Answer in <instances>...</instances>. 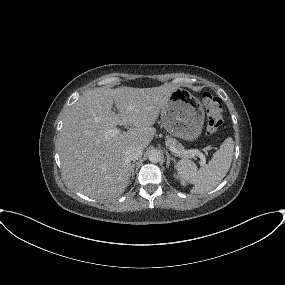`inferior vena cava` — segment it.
<instances>
[{
	"label": "inferior vena cava",
	"mask_w": 285,
	"mask_h": 285,
	"mask_svg": "<svg viewBox=\"0 0 285 285\" xmlns=\"http://www.w3.org/2000/svg\"><path fill=\"white\" fill-rule=\"evenodd\" d=\"M143 149L141 147H131L126 151V155L130 161H136L142 157Z\"/></svg>",
	"instance_id": "inferior-vena-cava-1"
}]
</instances>
